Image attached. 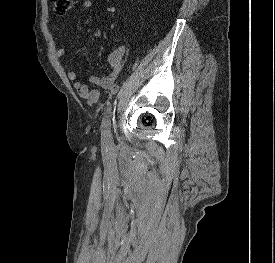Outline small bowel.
<instances>
[{
	"label": "small bowel",
	"instance_id": "c3829d8e",
	"mask_svg": "<svg viewBox=\"0 0 275 263\" xmlns=\"http://www.w3.org/2000/svg\"><path fill=\"white\" fill-rule=\"evenodd\" d=\"M81 7L84 10L91 11L83 20V25H88L95 17V12L93 10L92 0H82ZM66 53V48L61 47L56 52V58L61 59ZM125 53L124 46H119L109 55V64L111 66V71L109 74L98 77L95 75H90L88 81L100 89L113 93L115 91L116 83L122 77L124 72V62L123 57ZM67 77L73 82V86L77 91L78 95L84 99L91 102H97L100 99V92L96 88H89L84 82L77 80V74L74 70L67 72Z\"/></svg>",
	"mask_w": 275,
	"mask_h": 263
}]
</instances>
